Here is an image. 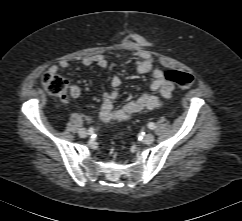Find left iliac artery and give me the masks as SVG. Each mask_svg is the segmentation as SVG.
<instances>
[{
  "label": "left iliac artery",
  "mask_w": 242,
  "mask_h": 221,
  "mask_svg": "<svg viewBox=\"0 0 242 221\" xmlns=\"http://www.w3.org/2000/svg\"><path fill=\"white\" fill-rule=\"evenodd\" d=\"M148 127L150 128V129H155V124L154 123H152V122H150L149 124H148Z\"/></svg>",
  "instance_id": "44dca946"
}]
</instances>
